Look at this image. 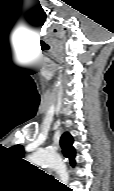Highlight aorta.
Returning <instances> with one entry per match:
<instances>
[{
  "label": "aorta",
  "instance_id": "762f6f07",
  "mask_svg": "<svg viewBox=\"0 0 114 191\" xmlns=\"http://www.w3.org/2000/svg\"><path fill=\"white\" fill-rule=\"evenodd\" d=\"M29 160L35 165H45L54 169L59 175L61 183L67 184L69 182L67 167L57 153L48 150H37L29 156Z\"/></svg>",
  "mask_w": 114,
  "mask_h": 191
}]
</instances>
